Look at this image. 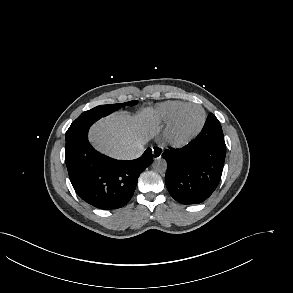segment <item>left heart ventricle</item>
I'll return each mask as SVG.
<instances>
[{"mask_svg":"<svg viewBox=\"0 0 293 293\" xmlns=\"http://www.w3.org/2000/svg\"><path fill=\"white\" fill-rule=\"evenodd\" d=\"M202 113L197 107H187L183 109L178 117L176 125V136L184 138L190 135L200 124Z\"/></svg>","mask_w":293,"mask_h":293,"instance_id":"obj_1","label":"left heart ventricle"}]
</instances>
